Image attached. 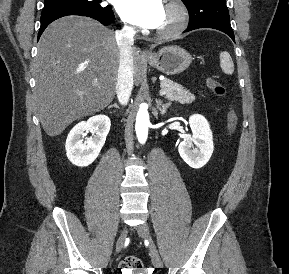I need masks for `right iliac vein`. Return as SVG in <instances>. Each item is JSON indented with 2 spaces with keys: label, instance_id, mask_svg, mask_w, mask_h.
Here are the masks:
<instances>
[{
  "label": "right iliac vein",
  "instance_id": "right-iliac-vein-1",
  "mask_svg": "<svg viewBox=\"0 0 289 274\" xmlns=\"http://www.w3.org/2000/svg\"><path fill=\"white\" fill-rule=\"evenodd\" d=\"M127 236V229L124 228L116 242V252L119 253L125 243Z\"/></svg>",
  "mask_w": 289,
  "mask_h": 274
}]
</instances>
